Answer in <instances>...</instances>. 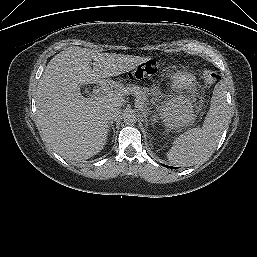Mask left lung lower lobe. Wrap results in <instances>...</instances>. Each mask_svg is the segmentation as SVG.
Wrapping results in <instances>:
<instances>
[{"label": "left lung lower lobe", "mask_w": 257, "mask_h": 257, "mask_svg": "<svg viewBox=\"0 0 257 257\" xmlns=\"http://www.w3.org/2000/svg\"><path fill=\"white\" fill-rule=\"evenodd\" d=\"M166 166V165H165ZM166 167H169V168H175V167H170V166H166Z\"/></svg>", "instance_id": "1"}]
</instances>
